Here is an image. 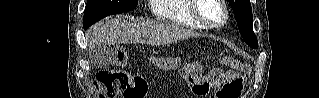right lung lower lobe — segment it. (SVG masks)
Listing matches in <instances>:
<instances>
[{"label":"right lung lower lobe","mask_w":319,"mask_h":98,"mask_svg":"<svg viewBox=\"0 0 319 98\" xmlns=\"http://www.w3.org/2000/svg\"><path fill=\"white\" fill-rule=\"evenodd\" d=\"M89 26H87V27H84V29H87Z\"/></svg>","instance_id":"right-lung-lower-lobe-1"}]
</instances>
